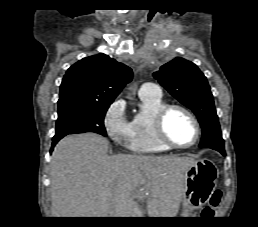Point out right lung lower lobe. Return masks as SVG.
I'll use <instances>...</instances> for the list:
<instances>
[{"label":"right lung lower lobe","instance_id":"98d812e1","mask_svg":"<svg viewBox=\"0 0 258 227\" xmlns=\"http://www.w3.org/2000/svg\"><path fill=\"white\" fill-rule=\"evenodd\" d=\"M64 135H61V134H58V135H55L53 137V143H52V147H51V151L53 150L54 146L56 145V143L61 139L63 138Z\"/></svg>","mask_w":258,"mask_h":227}]
</instances>
